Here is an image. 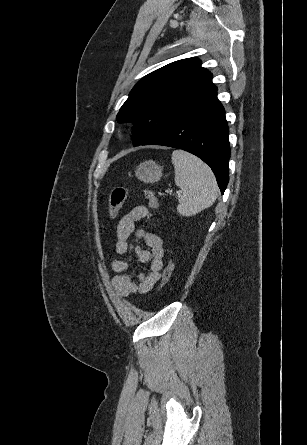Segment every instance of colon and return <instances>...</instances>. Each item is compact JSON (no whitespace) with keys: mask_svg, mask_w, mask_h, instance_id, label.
Wrapping results in <instances>:
<instances>
[{"mask_svg":"<svg viewBox=\"0 0 307 445\" xmlns=\"http://www.w3.org/2000/svg\"><path fill=\"white\" fill-rule=\"evenodd\" d=\"M137 194L142 195L145 199H147L148 206H146V208L148 210L155 211L158 208L159 205L158 198L153 191L150 190L135 191L124 187H116L110 193V199L108 204V217L110 219H114L117 216L119 210L123 206L126 199L130 196H134ZM173 269H174V262L173 260H169L163 271L159 289H162L165 285H167V283L171 278Z\"/></svg>","mask_w":307,"mask_h":445,"instance_id":"obj_1","label":"colon"}]
</instances>
